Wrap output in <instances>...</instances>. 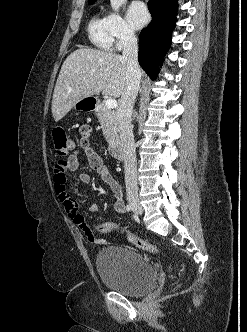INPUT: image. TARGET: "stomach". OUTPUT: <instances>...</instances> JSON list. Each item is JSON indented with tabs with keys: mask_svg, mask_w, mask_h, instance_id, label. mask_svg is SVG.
<instances>
[{
	"mask_svg": "<svg viewBox=\"0 0 247 332\" xmlns=\"http://www.w3.org/2000/svg\"><path fill=\"white\" fill-rule=\"evenodd\" d=\"M93 106H94V101L92 100V98L86 97V98H82L78 102H76L74 104L73 108L76 110L85 111V110L93 109Z\"/></svg>",
	"mask_w": 247,
	"mask_h": 332,
	"instance_id": "0dacf381",
	"label": "stomach"
}]
</instances>
